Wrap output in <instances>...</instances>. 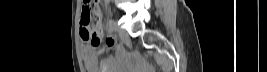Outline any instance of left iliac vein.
<instances>
[{"mask_svg":"<svg viewBox=\"0 0 267 72\" xmlns=\"http://www.w3.org/2000/svg\"><path fill=\"white\" fill-rule=\"evenodd\" d=\"M115 24H116V30L118 32V35H119L120 39L122 41H128L129 40L128 32L124 28L119 27L116 22H115Z\"/></svg>","mask_w":267,"mask_h":72,"instance_id":"left-iliac-vein-1","label":"left iliac vein"}]
</instances>
